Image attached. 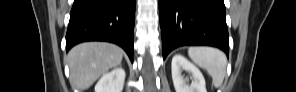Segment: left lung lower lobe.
I'll use <instances>...</instances> for the list:
<instances>
[{
    "label": "left lung lower lobe",
    "mask_w": 296,
    "mask_h": 92,
    "mask_svg": "<svg viewBox=\"0 0 296 92\" xmlns=\"http://www.w3.org/2000/svg\"><path fill=\"white\" fill-rule=\"evenodd\" d=\"M163 59L180 46L208 45L229 54L223 0H159Z\"/></svg>",
    "instance_id": "left-lung-lower-lobe-1"
}]
</instances>
